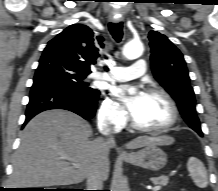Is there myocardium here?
<instances>
[{
	"instance_id": "obj_1",
	"label": "myocardium",
	"mask_w": 218,
	"mask_h": 191,
	"mask_svg": "<svg viewBox=\"0 0 218 191\" xmlns=\"http://www.w3.org/2000/svg\"><path fill=\"white\" fill-rule=\"evenodd\" d=\"M147 94L158 95L166 100L171 110V119L166 125L162 127H144V126L139 125L134 119V117H132L131 118L132 127L138 131L152 133V134L164 133V132L169 131L171 128H173L177 124L178 119H179V109H178L176 102L174 101V99L171 97V95L168 92L160 88H155V87L150 88L147 91Z\"/></svg>"
}]
</instances>
